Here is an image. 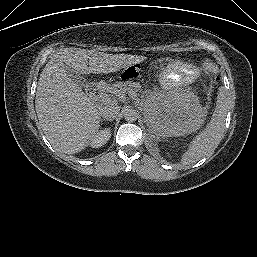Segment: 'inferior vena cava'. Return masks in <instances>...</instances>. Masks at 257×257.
<instances>
[{
	"label": "inferior vena cava",
	"mask_w": 257,
	"mask_h": 257,
	"mask_svg": "<svg viewBox=\"0 0 257 257\" xmlns=\"http://www.w3.org/2000/svg\"><path fill=\"white\" fill-rule=\"evenodd\" d=\"M120 112L119 105L107 103L99 109V114L105 119H114Z\"/></svg>",
	"instance_id": "inferior-vena-cava-1"
}]
</instances>
